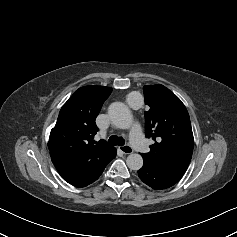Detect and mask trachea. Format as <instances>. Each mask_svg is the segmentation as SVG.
<instances>
[{"label":"trachea","mask_w":237,"mask_h":237,"mask_svg":"<svg viewBox=\"0 0 237 237\" xmlns=\"http://www.w3.org/2000/svg\"><path fill=\"white\" fill-rule=\"evenodd\" d=\"M109 145H118V146H123L125 144V140L122 137L118 136H111L108 140Z\"/></svg>","instance_id":"trachea-1"}]
</instances>
